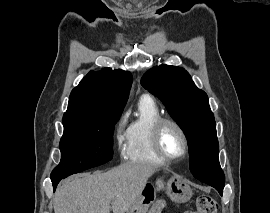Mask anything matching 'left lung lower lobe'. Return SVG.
Instances as JSON below:
<instances>
[{
    "instance_id": "1",
    "label": "left lung lower lobe",
    "mask_w": 270,
    "mask_h": 213,
    "mask_svg": "<svg viewBox=\"0 0 270 213\" xmlns=\"http://www.w3.org/2000/svg\"><path fill=\"white\" fill-rule=\"evenodd\" d=\"M190 171H191V173L193 174V176L196 178V177H197L196 172H193V171H195V170H192V169L190 168ZM198 180H199V179H198ZM219 193L222 195L223 191H220Z\"/></svg>"
}]
</instances>
